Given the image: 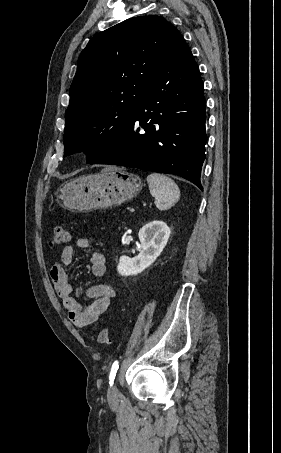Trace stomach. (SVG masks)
I'll return each instance as SVG.
<instances>
[{
  "label": "stomach",
  "mask_w": 281,
  "mask_h": 453,
  "mask_svg": "<svg viewBox=\"0 0 281 453\" xmlns=\"http://www.w3.org/2000/svg\"><path fill=\"white\" fill-rule=\"evenodd\" d=\"M143 182L136 174L118 166H106L96 174H83L61 184L57 198L64 208L89 212L96 208H112L131 200L142 190Z\"/></svg>",
  "instance_id": "0dacf381"
}]
</instances>
